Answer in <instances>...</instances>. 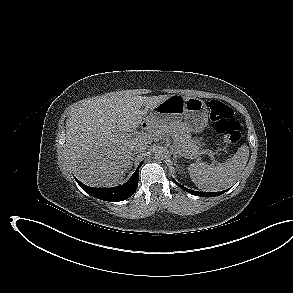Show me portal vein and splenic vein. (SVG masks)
I'll use <instances>...</instances> for the list:
<instances>
[{
    "instance_id": "18ae733b",
    "label": "portal vein and splenic vein",
    "mask_w": 293,
    "mask_h": 293,
    "mask_svg": "<svg viewBox=\"0 0 293 293\" xmlns=\"http://www.w3.org/2000/svg\"><path fill=\"white\" fill-rule=\"evenodd\" d=\"M139 134H142L143 136H154L152 134H148V133H139ZM159 134L156 133L155 136H158ZM204 153H206L208 156H210L211 160H212V164L214 165L216 163V158H215V152H212L211 150H205Z\"/></svg>"
}]
</instances>
